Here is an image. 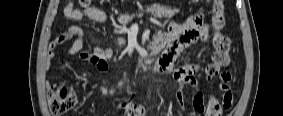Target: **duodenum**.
Wrapping results in <instances>:
<instances>
[{
	"mask_svg": "<svg viewBox=\"0 0 283 116\" xmlns=\"http://www.w3.org/2000/svg\"><path fill=\"white\" fill-rule=\"evenodd\" d=\"M163 45H164V41H163V36H162L159 40H157V41L154 43V46L152 47V50H153L154 52H157ZM158 71L161 72L160 69H158Z\"/></svg>",
	"mask_w": 283,
	"mask_h": 116,
	"instance_id": "obj_1",
	"label": "duodenum"
}]
</instances>
